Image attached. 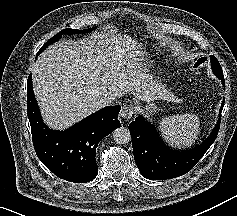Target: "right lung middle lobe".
Returning <instances> with one entry per match:
<instances>
[{
	"instance_id": "right-lung-middle-lobe-1",
	"label": "right lung middle lobe",
	"mask_w": 237,
	"mask_h": 216,
	"mask_svg": "<svg viewBox=\"0 0 237 216\" xmlns=\"http://www.w3.org/2000/svg\"><path fill=\"white\" fill-rule=\"evenodd\" d=\"M95 28V27H94ZM94 28H91V29H84L83 31H81V33H87L89 32L90 30H93ZM80 32L79 30H74V29H70V28H67V29H63L62 31H60L59 33H57L55 36H53L52 38H50L42 47L41 49L39 50V52L37 53V56L43 52V50H45L49 45L53 44L54 42L58 41L62 35L64 34H76Z\"/></svg>"
}]
</instances>
